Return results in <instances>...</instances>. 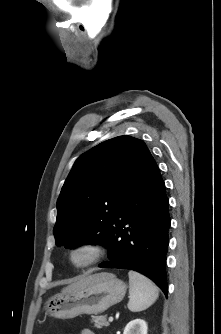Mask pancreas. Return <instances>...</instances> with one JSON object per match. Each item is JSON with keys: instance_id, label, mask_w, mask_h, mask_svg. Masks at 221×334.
Segmentation results:
<instances>
[{"instance_id": "cf45deb5", "label": "pancreas", "mask_w": 221, "mask_h": 334, "mask_svg": "<svg viewBox=\"0 0 221 334\" xmlns=\"http://www.w3.org/2000/svg\"><path fill=\"white\" fill-rule=\"evenodd\" d=\"M95 327L102 328V327H108L109 322L107 321L106 316H93L91 320Z\"/></svg>"}]
</instances>
